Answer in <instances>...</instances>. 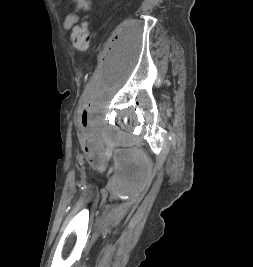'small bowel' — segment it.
<instances>
[{
	"label": "small bowel",
	"instance_id": "small-bowel-1",
	"mask_svg": "<svg viewBox=\"0 0 253 267\" xmlns=\"http://www.w3.org/2000/svg\"><path fill=\"white\" fill-rule=\"evenodd\" d=\"M74 4V10L68 13L65 17L63 26L65 29H70L75 26L78 21V12H88L91 8L90 0H72Z\"/></svg>",
	"mask_w": 253,
	"mask_h": 267
}]
</instances>
